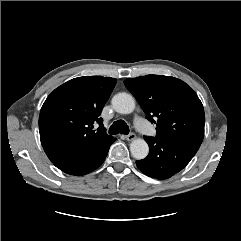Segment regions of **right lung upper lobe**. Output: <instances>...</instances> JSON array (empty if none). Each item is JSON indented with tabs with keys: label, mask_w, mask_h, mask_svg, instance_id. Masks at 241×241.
<instances>
[{
	"label": "right lung upper lobe",
	"mask_w": 241,
	"mask_h": 241,
	"mask_svg": "<svg viewBox=\"0 0 241 241\" xmlns=\"http://www.w3.org/2000/svg\"><path fill=\"white\" fill-rule=\"evenodd\" d=\"M115 78L78 77L56 88L44 102L39 116L42 146L52 161L88 150L111 137L99 117ZM98 123L97 131L93 130Z\"/></svg>",
	"instance_id": "cb5924a9"
}]
</instances>
